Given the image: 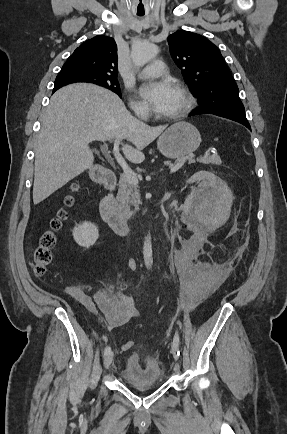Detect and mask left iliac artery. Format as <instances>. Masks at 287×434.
Returning <instances> with one entry per match:
<instances>
[{
  "instance_id": "44dca946",
  "label": "left iliac artery",
  "mask_w": 287,
  "mask_h": 434,
  "mask_svg": "<svg viewBox=\"0 0 287 434\" xmlns=\"http://www.w3.org/2000/svg\"><path fill=\"white\" fill-rule=\"evenodd\" d=\"M181 307H184V303H181ZM179 334H178V332H176L175 333V335H174V338H173V342L177 345V346H179ZM179 352H177V354H178Z\"/></svg>"
}]
</instances>
